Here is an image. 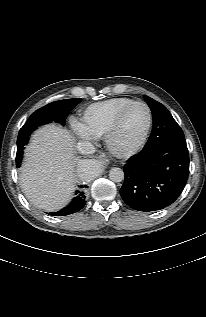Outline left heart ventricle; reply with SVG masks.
Listing matches in <instances>:
<instances>
[{
  "instance_id": "left-heart-ventricle-1",
  "label": "left heart ventricle",
  "mask_w": 206,
  "mask_h": 317,
  "mask_svg": "<svg viewBox=\"0 0 206 317\" xmlns=\"http://www.w3.org/2000/svg\"><path fill=\"white\" fill-rule=\"evenodd\" d=\"M147 125V111L142 105L131 107L124 115L114 136V144L121 149L135 146Z\"/></svg>"
}]
</instances>
